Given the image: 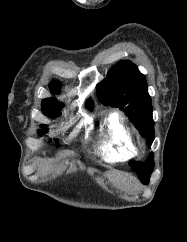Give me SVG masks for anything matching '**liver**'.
<instances>
[{
    "label": "liver",
    "instance_id": "1",
    "mask_svg": "<svg viewBox=\"0 0 187 242\" xmlns=\"http://www.w3.org/2000/svg\"><path fill=\"white\" fill-rule=\"evenodd\" d=\"M51 170V166L48 163H41L38 166V171L46 174ZM118 186L124 187V188H129L131 187L135 181L132 176L121 173V172H116L113 173L109 176Z\"/></svg>",
    "mask_w": 187,
    "mask_h": 242
}]
</instances>
